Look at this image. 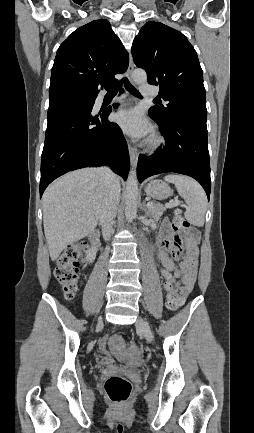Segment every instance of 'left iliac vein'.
<instances>
[{"label":"left iliac vein","instance_id":"left-iliac-vein-1","mask_svg":"<svg viewBox=\"0 0 254 433\" xmlns=\"http://www.w3.org/2000/svg\"><path fill=\"white\" fill-rule=\"evenodd\" d=\"M136 327L141 330V332L143 333L145 339L149 342L152 341L153 339V335H152V331L149 327V324L142 318H138L137 323H136Z\"/></svg>","mask_w":254,"mask_h":433}]
</instances>
